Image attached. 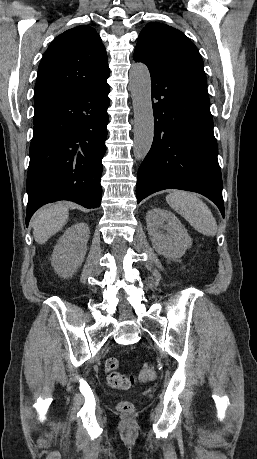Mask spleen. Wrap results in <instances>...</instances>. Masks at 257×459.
<instances>
[{"label":"spleen","mask_w":257,"mask_h":459,"mask_svg":"<svg viewBox=\"0 0 257 459\" xmlns=\"http://www.w3.org/2000/svg\"><path fill=\"white\" fill-rule=\"evenodd\" d=\"M169 206L183 216L191 226L206 236L217 232L216 220L208 206L194 193L174 190L166 196Z\"/></svg>","instance_id":"spleen-1"}]
</instances>
